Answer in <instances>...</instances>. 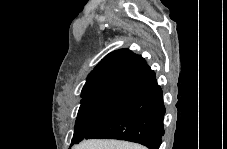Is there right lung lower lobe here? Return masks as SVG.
I'll list each match as a JSON object with an SVG mask.
<instances>
[{
    "instance_id": "98d812e1",
    "label": "right lung lower lobe",
    "mask_w": 227,
    "mask_h": 149,
    "mask_svg": "<svg viewBox=\"0 0 227 149\" xmlns=\"http://www.w3.org/2000/svg\"><path fill=\"white\" fill-rule=\"evenodd\" d=\"M163 93L155 77L137 88L130 100L86 139H119L158 149L164 135Z\"/></svg>"
}]
</instances>
